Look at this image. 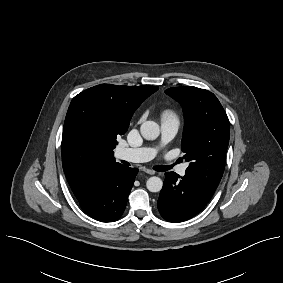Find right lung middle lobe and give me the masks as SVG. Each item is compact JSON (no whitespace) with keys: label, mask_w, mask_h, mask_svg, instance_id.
I'll list each match as a JSON object with an SVG mask.
<instances>
[{"label":"right lung middle lobe","mask_w":283,"mask_h":283,"mask_svg":"<svg viewBox=\"0 0 283 283\" xmlns=\"http://www.w3.org/2000/svg\"><path fill=\"white\" fill-rule=\"evenodd\" d=\"M65 121L81 141L94 148L114 149L116 138L128 128L123 127L119 107L98 104L81 93L73 98Z\"/></svg>","instance_id":"obj_1"}]
</instances>
